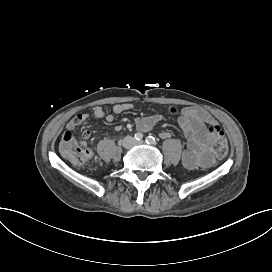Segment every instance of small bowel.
<instances>
[{
	"label": "small bowel",
	"mask_w": 272,
	"mask_h": 272,
	"mask_svg": "<svg viewBox=\"0 0 272 272\" xmlns=\"http://www.w3.org/2000/svg\"><path fill=\"white\" fill-rule=\"evenodd\" d=\"M132 109L130 103L115 104L112 108V114H106L101 106H95L92 109V114L95 118H104L108 123L114 121V114H122ZM175 112V110H172ZM89 115L87 113H79L72 120H70L66 128L75 129L81 124L88 122ZM161 116L153 114L149 116L140 117L136 120V125L141 131L151 130L159 121ZM179 125L183 130L186 147L183 151L182 162L185 167L189 169L197 168L204 162L205 153L208 149V139L206 136V125H216L215 119L206 110L199 107L184 108L178 118ZM116 131L121 130V126L115 127ZM91 136V131L86 129L82 132V137L87 140ZM160 137L163 139L169 138L170 133L167 131L161 132Z\"/></svg>",
	"instance_id": "small-bowel-1"
}]
</instances>
